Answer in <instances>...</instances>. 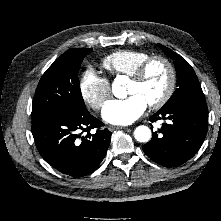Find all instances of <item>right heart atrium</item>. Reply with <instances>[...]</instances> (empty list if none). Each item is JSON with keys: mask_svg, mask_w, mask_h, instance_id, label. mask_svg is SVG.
Listing matches in <instances>:
<instances>
[{"mask_svg": "<svg viewBox=\"0 0 221 221\" xmlns=\"http://www.w3.org/2000/svg\"><path fill=\"white\" fill-rule=\"evenodd\" d=\"M79 89L83 100L94 110H100L111 93L110 82L89 68L81 76Z\"/></svg>", "mask_w": 221, "mask_h": 221, "instance_id": "1", "label": "right heart atrium"}]
</instances>
